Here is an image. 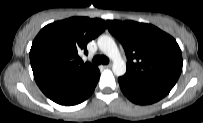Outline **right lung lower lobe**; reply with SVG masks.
<instances>
[{
    "label": "right lung lower lobe",
    "mask_w": 203,
    "mask_h": 123,
    "mask_svg": "<svg viewBox=\"0 0 203 123\" xmlns=\"http://www.w3.org/2000/svg\"><path fill=\"white\" fill-rule=\"evenodd\" d=\"M99 77L97 68L87 75L51 78L38 83V86L52 101L70 106L85 101L93 93Z\"/></svg>",
    "instance_id": "1"
}]
</instances>
